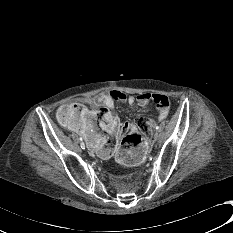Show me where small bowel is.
Masks as SVG:
<instances>
[{"label": "small bowel", "mask_w": 233, "mask_h": 233, "mask_svg": "<svg viewBox=\"0 0 233 233\" xmlns=\"http://www.w3.org/2000/svg\"><path fill=\"white\" fill-rule=\"evenodd\" d=\"M122 103L128 106L147 107L154 103L157 107L158 118L164 119L168 114L169 100L164 95L152 93H140L138 95L125 94L123 92L112 90L102 92L93 97L80 99L76 104L82 106L81 112L76 116L74 122L68 126V129L80 134L86 141L90 152L100 158H110L118 147V141L123 131L128 125H122L118 122L106 108H113L116 103ZM85 105V106H84ZM104 108L108 113L100 120L101 129L105 135L97 131L94 122L95 113L98 109ZM149 129L155 124L153 118L146 121ZM133 126V125H131ZM150 157V150L145 145H137L132 149H120L115 154V161L120 166H136L145 162Z\"/></svg>", "instance_id": "1"}]
</instances>
